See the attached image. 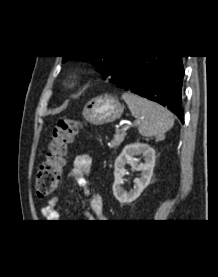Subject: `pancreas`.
Returning <instances> with one entry per match:
<instances>
[{"label": "pancreas", "instance_id": "1", "mask_svg": "<svg viewBox=\"0 0 218 277\" xmlns=\"http://www.w3.org/2000/svg\"><path fill=\"white\" fill-rule=\"evenodd\" d=\"M125 136H126L125 132H123V133H117L114 136V138L111 141V143L109 144V146L111 148H115V147L119 146L124 141Z\"/></svg>", "mask_w": 218, "mask_h": 277}]
</instances>
